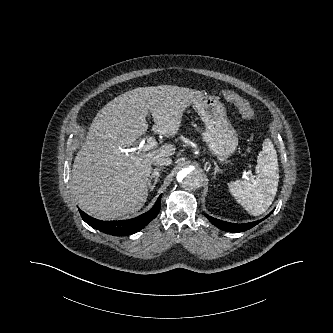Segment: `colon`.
<instances>
[{
    "label": "colon",
    "instance_id": "colon-1",
    "mask_svg": "<svg viewBox=\"0 0 333 333\" xmlns=\"http://www.w3.org/2000/svg\"><path fill=\"white\" fill-rule=\"evenodd\" d=\"M222 95L227 101L231 102L236 107L244 119L250 120L255 117V112L249 101L241 97L239 94L231 90H223Z\"/></svg>",
    "mask_w": 333,
    "mask_h": 333
}]
</instances>
